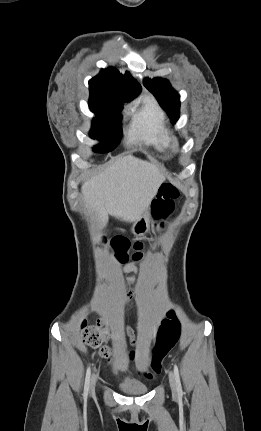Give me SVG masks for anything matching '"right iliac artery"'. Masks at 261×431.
<instances>
[{"instance_id":"right-iliac-artery-1","label":"right iliac artery","mask_w":261,"mask_h":431,"mask_svg":"<svg viewBox=\"0 0 261 431\" xmlns=\"http://www.w3.org/2000/svg\"><path fill=\"white\" fill-rule=\"evenodd\" d=\"M90 376H91V368L90 366L87 369L86 378H85V385H84V398H87L89 388H90Z\"/></svg>"}]
</instances>
